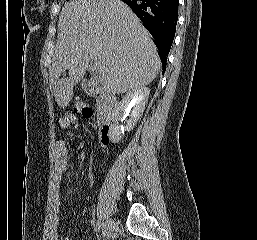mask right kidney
Instances as JSON below:
<instances>
[{
	"label": "right kidney",
	"instance_id": "1",
	"mask_svg": "<svg viewBox=\"0 0 257 240\" xmlns=\"http://www.w3.org/2000/svg\"><path fill=\"white\" fill-rule=\"evenodd\" d=\"M149 94L150 90L147 87L133 89L129 91L123 97L121 102L115 106L112 116L114 123L110 130V138L113 143H117L122 139L124 129L126 131H130L134 128L145 110V105ZM127 109L130 110V114L128 120L126 121V125L123 128L118 124V120Z\"/></svg>",
	"mask_w": 257,
	"mask_h": 240
}]
</instances>
